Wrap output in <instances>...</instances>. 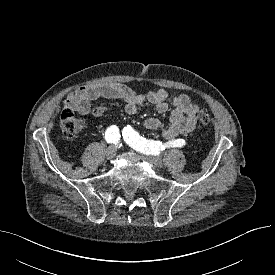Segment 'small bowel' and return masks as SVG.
<instances>
[{
    "instance_id": "c3829d8e",
    "label": "small bowel",
    "mask_w": 275,
    "mask_h": 275,
    "mask_svg": "<svg viewBox=\"0 0 275 275\" xmlns=\"http://www.w3.org/2000/svg\"><path fill=\"white\" fill-rule=\"evenodd\" d=\"M120 99L125 102V111L135 114L138 108L145 102L154 105L158 113H166L169 110V94L164 89L150 91L141 94L132 88L119 83H94L87 84L69 92L64 100L63 107L66 110L96 117L108 113L105 107H92V102L98 98ZM172 111L168 123L164 125L155 117L147 118L144 127L150 130H160L166 140H174L179 135H187L196 126V113L198 106L192 102L189 96L180 94L172 98Z\"/></svg>"
}]
</instances>
